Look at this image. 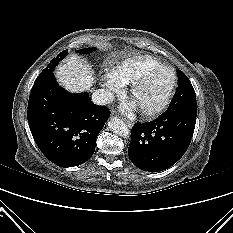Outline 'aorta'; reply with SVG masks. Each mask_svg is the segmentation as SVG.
Returning <instances> with one entry per match:
<instances>
[{"instance_id": "1", "label": "aorta", "mask_w": 233, "mask_h": 233, "mask_svg": "<svg viewBox=\"0 0 233 233\" xmlns=\"http://www.w3.org/2000/svg\"><path fill=\"white\" fill-rule=\"evenodd\" d=\"M108 127L110 128V130L113 133L118 134L122 137H129L130 136V131H129L128 127L118 117H111L108 121Z\"/></svg>"}]
</instances>
